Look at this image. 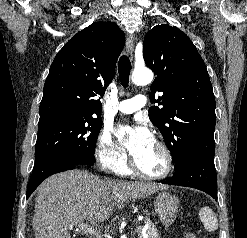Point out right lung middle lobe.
Wrapping results in <instances>:
<instances>
[{
	"instance_id": "right-lung-middle-lobe-1",
	"label": "right lung middle lobe",
	"mask_w": 247,
	"mask_h": 238,
	"mask_svg": "<svg viewBox=\"0 0 247 238\" xmlns=\"http://www.w3.org/2000/svg\"><path fill=\"white\" fill-rule=\"evenodd\" d=\"M101 126L100 116L39 123L33 170L46 162L61 158L93 165L95 145Z\"/></svg>"
}]
</instances>
